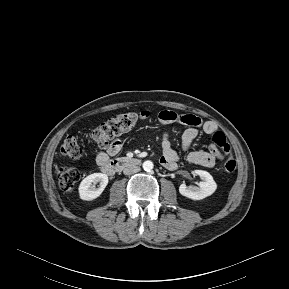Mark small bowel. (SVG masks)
Here are the masks:
<instances>
[{"label": "small bowel", "mask_w": 289, "mask_h": 289, "mask_svg": "<svg viewBox=\"0 0 289 289\" xmlns=\"http://www.w3.org/2000/svg\"><path fill=\"white\" fill-rule=\"evenodd\" d=\"M159 128L163 129L161 137L162 155L160 157L161 165L167 170L174 171L178 168L181 157L177 151L172 148L170 141L169 128L176 125H184L186 129L181 136V148L187 152L185 160L188 163L196 164L205 168H212L216 159H221V153L210 147V150L199 149L188 152L193 141L202 130L208 135H213L218 131L217 125L213 121L202 122L198 117L192 114H178L174 111L164 110L158 114ZM122 149V142L114 139L110 142L105 151L96 154V162L99 166L110 161L111 157L116 156Z\"/></svg>", "instance_id": "1"}]
</instances>
